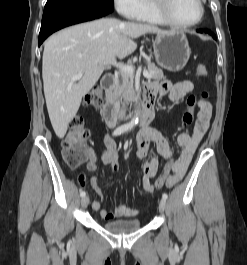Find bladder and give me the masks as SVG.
I'll list each match as a JSON object with an SVG mask.
<instances>
[{"label": "bladder", "mask_w": 247, "mask_h": 265, "mask_svg": "<svg viewBox=\"0 0 247 265\" xmlns=\"http://www.w3.org/2000/svg\"><path fill=\"white\" fill-rule=\"evenodd\" d=\"M142 225L139 219H121L103 223V228L114 234H128L138 230Z\"/></svg>", "instance_id": "31cf9c89"}]
</instances>
